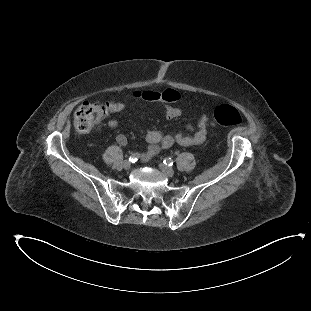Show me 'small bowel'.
<instances>
[{"label": "small bowel", "instance_id": "1", "mask_svg": "<svg viewBox=\"0 0 311 311\" xmlns=\"http://www.w3.org/2000/svg\"><path fill=\"white\" fill-rule=\"evenodd\" d=\"M106 108L108 113H118L126 108V104L122 101L115 99L108 100L106 102ZM182 111L174 106L167 105L164 109V115L168 119H174L181 116ZM118 120L111 118L107 121V125L110 128H116L118 126ZM187 129L192 131L191 135H169L158 131H150L146 136L148 147L143 154V160H150L158 152L170 148L175 143L182 146H198L202 144L206 138V124L202 119L197 120L195 125H187ZM117 142L120 145H125L127 142L126 137L123 134L117 136Z\"/></svg>", "mask_w": 311, "mask_h": 311}]
</instances>
